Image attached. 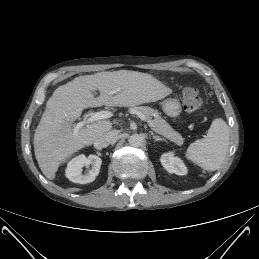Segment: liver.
Listing matches in <instances>:
<instances>
[{
	"label": "liver",
	"mask_w": 259,
	"mask_h": 259,
	"mask_svg": "<svg viewBox=\"0 0 259 259\" xmlns=\"http://www.w3.org/2000/svg\"><path fill=\"white\" fill-rule=\"evenodd\" d=\"M94 90L100 92L99 97H94ZM111 91L115 93L109 94ZM166 93L163 84L150 74L130 70L79 76L58 87L47 101L34 134L35 157L42 173L53 180L61 163L112 128L110 121L98 120L74 134L73 122L84 109L132 107L160 100Z\"/></svg>",
	"instance_id": "1"
}]
</instances>
